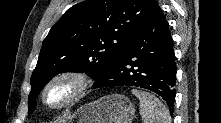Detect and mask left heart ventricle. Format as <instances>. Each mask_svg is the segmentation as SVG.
I'll return each mask as SVG.
<instances>
[{
    "instance_id": "left-heart-ventricle-1",
    "label": "left heart ventricle",
    "mask_w": 221,
    "mask_h": 123,
    "mask_svg": "<svg viewBox=\"0 0 221 123\" xmlns=\"http://www.w3.org/2000/svg\"><path fill=\"white\" fill-rule=\"evenodd\" d=\"M69 90L67 84H57L48 92L47 99L51 104H57L69 94Z\"/></svg>"
}]
</instances>
